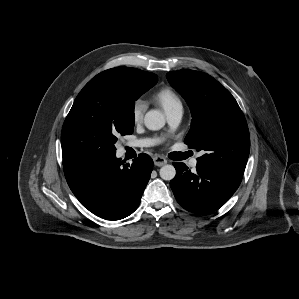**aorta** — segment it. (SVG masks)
I'll return each mask as SVG.
<instances>
[{
    "label": "aorta",
    "instance_id": "762f6f07",
    "mask_svg": "<svg viewBox=\"0 0 299 299\" xmlns=\"http://www.w3.org/2000/svg\"><path fill=\"white\" fill-rule=\"evenodd\" d=\"M165 116L159 110H150L144 117V124L149 130H160L165 125ZM160 177L163 180L170 181L176 175V170L173 165H164L159 171Z\"/></svg>",
    "mask_w": 299,
    "mask_h": 299
}]
</instances>
